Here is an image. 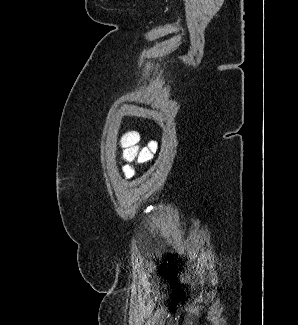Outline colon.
<instances>
[{
  "label": "colon",
  "mask_w": 298,
  "mask_h": 325,
  "mask_svg": "<svg viewBox=\"0 0 298 325\" xmlns=\"http://www.w3.org/2000/svg\"><path fill=\"white\" fill-rule=\"evenodd\" d=\"M138 144L139 135L136 132H127L122 136L120 160L124 163L122 171L126 178H130L134 173L131 163L145 164L151 158L150 151L141 149Z\"/></svg>",
  "instance_id": "1"
}]
</instances>
